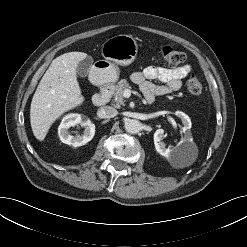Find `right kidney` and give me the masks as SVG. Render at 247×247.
<instances>
[{
  "label": "right kidney",
  "instance_id": "right-kidney-1",
  "mask_svg": "<svg viewBox=\"0 0 247 247\" xmlns=\"http://www.w3.org/2000/svg\"><path fill=\"white\" fill-rule=\"evenodd\" d=\"M77 124L84 126L85 130L83 135H70L68 129L76 126ZM94 134L95 125L89 119L82 118V116L77 113H71L63 117L62 122L58 127V135L60 140L63 143L74 147L85 145L93 138Z\"/></svg>",
  "mask_w": 247,
  "mask_h": 247
}]
</instances>
